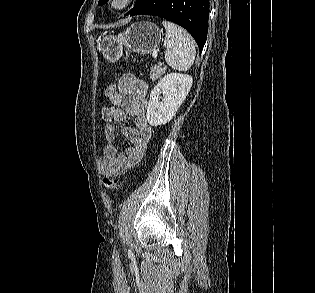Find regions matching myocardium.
<instances>
[{
    "instance_id": "myocardium-1",
    "label": "myocardium",
    "mask_w": 315,
    "mask_h": 293,
    "mask_svg": "<svg viewBox=\"0 0 315 293\" xmlns=\"http://www.w3.org/2000/svg\"><path fill=\"white\" fill-rule=\"evenodd\" d=\"M135 0H107V7L113 12H122L132 6Z\"/></svg>"
}]
</instances>
